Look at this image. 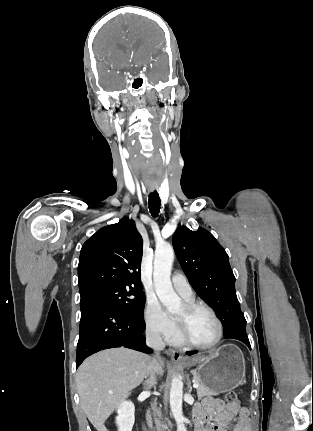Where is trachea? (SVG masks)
<instances>
[{
	"label": "trachea",
	"instance_id": "obj_1",
	"mask_svg": "<svg viewBox=\"0 0 313 431\" xmlns=\"http://www.w3.org/2000/svg\"><path fill=\"white\" fill-rule=\"evenodd\" d=\"M148 204L151 215L153 217H157L161 206V200L157 191L151 192L149 194Z\"/></svg>",
	"mask_w": 313,
	"mask_h": 431
}]
</instances>
